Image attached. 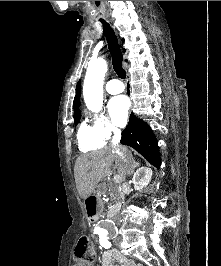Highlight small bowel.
<instances>
[{
    "mask_svg": "<svg viewBox=\"0 0 221 266\" xmlns=\"http://www.w3.org/2000/svg\"><path fill=\"white\" fill-rule=\"evenodd\" d=\"M101 266H143L117 253L106 251L100 257Z\"/></svg>",
    "mask_w": 221,
    "mask_h": 266,
    "instance_id": "small-bowel-1",
    "label": "small bowel"
}]
</instances>
